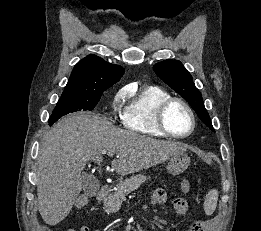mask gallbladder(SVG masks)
Here are the masks:
<instances>
[{
    "label": "gallbladder",
    "instance_id": "1",
    "mask_svg": "<svg viewBox=\"0 0 261 231\" xmlns=\"http://www.w3.org/2000/svg\"><path fill=\"white\" fill-rule=\"evenodd\" d=\"M81 177H82L84 192L88 196H92L99 190L98 181L94 177L86 173H82Z\"/></svg>",
    "mask_w": 261,
    "mask_h": 231
}]
</instances>
